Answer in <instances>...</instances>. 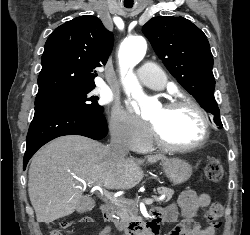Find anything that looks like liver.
<instances>
[{"label":"liver","mask_w":250,"mask_h":235,"mask_svg":"<svg viewBox=\"0 0 250 235\" xmlns=\"http://www.w3.org/2000/svg\"><path fill=\"white\" fill-rule=\"evenodd\" d=\"M164 158L152 155L147 162ZM140 162L110 157L107 146L84 136L53 140L34 155L29 168L28 193L37 221L49 223L72 214L84 198L81 191L85 186L135 187L144 176Z\"/></svg>","instance_id":"1"}]
</instances>
